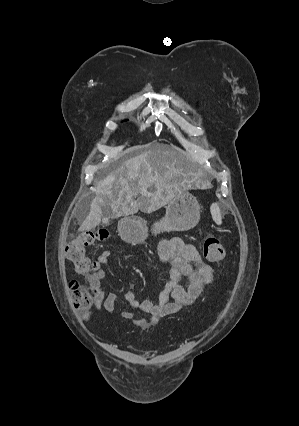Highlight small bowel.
I'll list each match as a JSON object with an SVG mask.
<instances>
[{
	"instance_id": "small-bowel-1",
	"label": "small bowel",
	"mask_w": 299,
	"mask_h": 426,
	"mask_svg": "<svg viewBox=\"0 0 299 426\" xmlns=\"http://www.w3.org/2000/svg\"><path fill=\"white\" fill-rule=\"evenodd\" d=\"M111 255V250H104L96 259L97 265H106ZM158 255L163 263L170 266L168 280L159 294L158 302L139 300L134 291L129 290L125 293L124 299L129 303L131 309L124 310L120 314L123 319L131 321L133 325L144 330L157 324L161 318L178 313L184 306L194 304L203 288L210 284L214 277L213 268L203 259L198 249L179 237L162 239L158 244ZM104 278L105 272L99 267L89 274L88 281L95 290L98 307L112 314L119 296L105 291L102 284ZM183 278L187 279L188 299L182 304L171 303L170 293L180 285ZM136 310L147 316L135 319Z\"/></svg>"
}]
</instances>
